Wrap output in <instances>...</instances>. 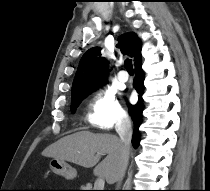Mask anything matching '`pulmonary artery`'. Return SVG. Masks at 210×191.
Wrapping results in <instances>:
<instances>
[{"instance_id": "e3ab8cb5", "label": "pulmonary artery", "mask_w": 210, "mask_h": 191, "mask_svg": "<svg viewBox=\"0 0 210 191\" xmlns=\"http://www.w3.org/2000/svg\"><path fill=\"white\" fill-rule=\"evenodd\" d=\"M117 77H118V80L121 82H127L129 78L128 73L125 71H120Z\"/></svg>"}]
</instances>
